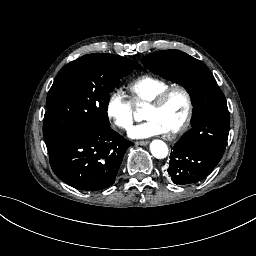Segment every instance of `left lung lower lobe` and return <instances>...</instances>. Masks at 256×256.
Masks as SVG:
<instances>
[{
    "instance_id": "0a47b994",
    "label": "left lung lower lobe",
    "mask_w": 256,
    "mask_h": 256,
    "mask_svg": "<svg viewBox=\"0 0 256 256\" xmlns=\"http://www.w3.org/2000/svg\"><path fill=\"white\" fill-rule=\"evenodd\" d=\"M175 184H189L203 180L208 175H179L168 172Z\"/></svg>"
}]
</instances>
